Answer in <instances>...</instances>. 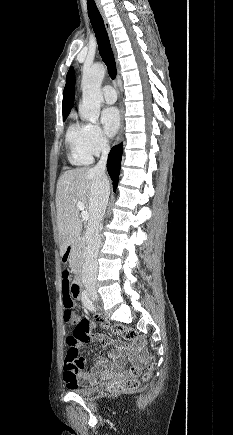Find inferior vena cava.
Returning <instances> with one entry per match:
<instances>
[{"label": "inferior vena cava", "mask_w": 233, "mask_h": 435, "mask_svg": "<svg viewBox=\"0 0 233 435\" xmlns=\"http://www.w3.org/2000/svg\"><path fill=\"white\" fill-rule=\"evenodd\" d=\"M102 156L97 165L91 169L94 178L91 185L89 200L90 219L85 234L86 256L82 271V281L86 288L95 286L98 263L97 257L101 244L100 225L104 219L105 210L110 195V185L106 176V163L110 146L105 139L101 144Z\"/></svg>", "instance_id": "1"}]
</instances>
